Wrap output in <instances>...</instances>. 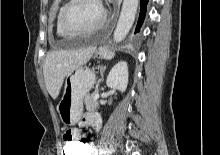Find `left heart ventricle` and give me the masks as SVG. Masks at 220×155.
Wrapping results in <instances>:
<instances>
[{
  "instance_id": "1",
  "label": "left heart ventricle",
  "mask_w": 220,
  "mask_h": 155,
  "mask_svg": "<svg viewBox=\"0 0 220 155\" xmlns=\"http://www.w3.org/2000/svg\"><path fill=\"white\" fill-rule=\"evenodd\" d=\"M104 16L99 0H79L66 13L67 23L75 28H90L97 25Z\"/></svg>"
}]
</instances>
